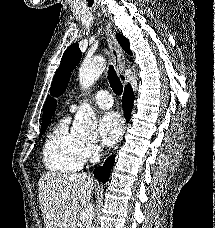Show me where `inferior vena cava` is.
<instances>
[{
	"label": "inferior vena cava",
	"mask_w": 215,
	"mask_h": 228,
	"mask_svg": "<svg viewBox=\"0 0 215 228\" xmlns=\"http://www.w3.org/2000/svg\"><path fill=\"white\" fill-rule=\"evenodd\" d=\"M89 212H90V220H89V222H87V224H88L87 228H92V226H91V224H92V218H91V216L93 214V206H92V204L90 206Z\"/></svg>",
	"instance_id": "inferior-vena-cava-1"
}]
</instances>
